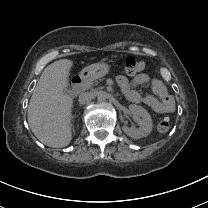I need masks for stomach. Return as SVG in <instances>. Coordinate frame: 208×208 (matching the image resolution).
<instances>
[{
	"label": "stomach",
	"instance_id": "stomach-1",
	"mask_svg": "<svg viewBox=\"0 0 208 208\" xmlns=\"http://www.w3.org/2000/svg\"><path fill=\"white\" fill-rule=\"evenodd\" d=\"M111 71L108 62H98L86 66L80 73L84 81H91L106 76Z\"/></svg>",
	"mask_w": 208,
	"mask_h": 208
}]
</instances>
